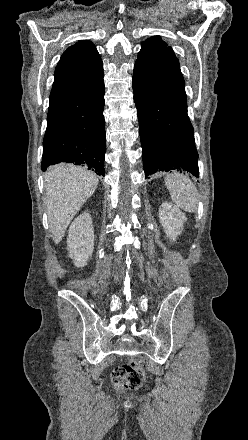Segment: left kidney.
Masks as SVG:
<instances>
[{"mask_svg": "<svg viewBox=\"0 0 248 440\" xmlns=\"http://www.w3.org/2000/svg\"><path fill=\"white\" fill-rule=\"evenodd\" d=\"M159 220L168 238L175 241L187 220L180 209L169 202H163L159 209Z\"/></svg>", "mask_w": 248, "mask_h": 440, "instance_id": "5707ae66", "label": "left kidney"}]
</instances>
